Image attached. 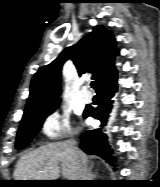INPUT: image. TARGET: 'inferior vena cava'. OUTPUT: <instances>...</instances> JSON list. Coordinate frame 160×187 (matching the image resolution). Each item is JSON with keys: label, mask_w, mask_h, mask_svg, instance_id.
Instances as JSON below:
<instances>
[{"label": "inferior vena cava", "mask_w": 160, "mask_h": 187, "mask_svg": "<svg viewBox=\"0 0 160 187\" xmlns=\"http://www.w3.org/2000/svg\"><path fill=\"white\" fill-rule=\"evenodd\" d=\"M67 146L76 154V142L73 139L67 141ZM79 180H90L87 168L80 166V178Z\"/></svg>", "instance_id": "602c4592"}]
</instances>
